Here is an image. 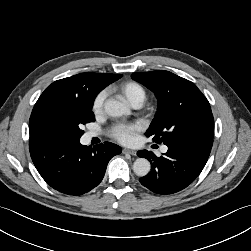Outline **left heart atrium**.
<instances>
[{"label": "left heart atrium", "instance_id": "obj_1", "mask_svg": "<svg viewBox=\"0 0 251 251\" xmlns=\"http://www.w3.org/2000/svg\"><path fill=\"white\" fill-rule=\"evenodd\" d=\"M141 128L142 126L138 123H117L112 126L110 135L121 143L129 144Z\"/></svg>", "mask_w": 251, "mask_h": 251}]
</instances>
